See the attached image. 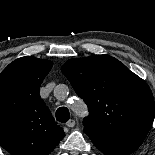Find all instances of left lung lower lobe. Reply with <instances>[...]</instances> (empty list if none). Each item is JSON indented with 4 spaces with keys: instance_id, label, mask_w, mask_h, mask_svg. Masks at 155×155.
Returning a JSON list of instances; mask_svg holds the SVG:
<instances>
[{
    "instance_id": "0a47b994",
    "label": "left lung lower lobe",
    "mask_w": 155,
    "mask_h": 155,
    "mask_svg": "<svg viewBox=\"0 0 155 155\" xmlns=\"http://www.w3.org/2000/svg\"><path fill=\"white\" fill-rule=\"evenodd\" d=\"M147 134L134 133L107 139H91L105 155H129L139 148Z\"/></svg>"
}]
</instances>
